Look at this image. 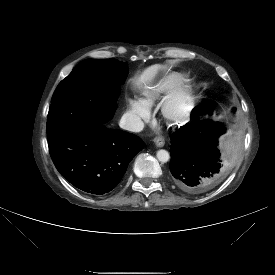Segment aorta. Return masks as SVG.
<instances>
[{"label": "aorta", "instance_id": "obj_1", "mask_svg": "<svg viewBox=\"0 0 275 275\" xmlns=\"http://www.w3.org/2000/svg\"><path fill=\"white\" fill-rule=\"evenodd\" d=\"M156 157L161 163H166L170 159L168 151L163 149L157 151Z\"/></svg>", "mask_w": 275, "mask_h": 275}]
</instances>
